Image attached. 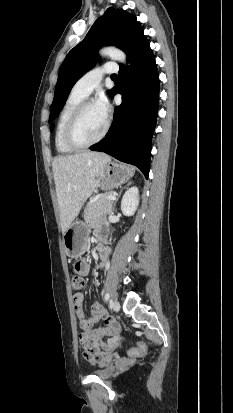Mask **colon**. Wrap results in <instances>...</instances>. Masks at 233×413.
<instances>
[{
	"label": "colon",
	"instance_id": "1",
	"mask_svg": "<svg viewBox=\"0 0 233 413\" xmlns=\"http://www.w3.org/2000/svg\"><path fill=\"white\" fill-rule=\"evenodd\" d=\"M71 285H72V289L75 291L81 290L85 285V281L83 277L78 273V270L74 269L72 272ZM145 351H146L145 344L143 342H139L136 347L131 348L129 350V354L131 356H138V355L144 354Z\"/></svg>",
	"mask_w": 233,
	"mask_h": 413
}]
</instances>
